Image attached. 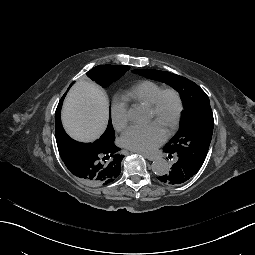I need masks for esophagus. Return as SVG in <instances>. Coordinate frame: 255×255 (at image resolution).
<instances>
[{
  "instance_id": "esophagus-1",
  "label": "esophagus",
  "mask_w": 255,
  "mask_h": 255,
  "mask_svg": "<svg viewBox=\"0 0 255 255\" xmlns=\"http://www.w3.org/2000/svg\"><path fill=\"white\" fill-rule=\"evenodd\" d=\"M135 153H137V154H139V155H144V157H145L146 159L150 160V161H154V160L156 159V157L153 156V155H146V154H143L142 152H138V151H136Z\"/></svg>"
}]
</instances>
